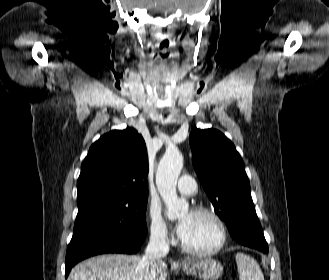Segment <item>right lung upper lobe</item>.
I'll use <instances>...</instances> for the list:
<instances>
[{
  "label": "right lung upper lobe",
  "instance_id": "1",
  "mask_svg": "<svg viewBox=\"0 0 329 280\" xmlns=\"http://www.w3.org/2000/svg\"><path fill=\"white\" fill-rule=\"evenodd\" d=\"M145 142L133 128L104 134L89 149L77 182V199L148 197Z\"/></svg>",
  "mask_w": 329,
  "mask_h": 280
}]
</instances>
